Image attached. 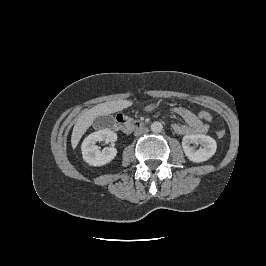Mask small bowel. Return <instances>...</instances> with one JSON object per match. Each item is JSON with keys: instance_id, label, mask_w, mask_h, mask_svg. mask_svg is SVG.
<instances>
[{"instance_id": "c3829d8e", "label": "small bowel", "mask_w": 266, "mask_h": 266, "mask_svg": "<svg viewBox=\"0 0 266 266\" xmlns=\"http://www.w3.org/2000/svg\"><path fill=\"white\" fill-rule=\"evenodd\" d=\"M173 112L180 116L185 124H174L173 130L179 135L203 134L208 131V125L203 123L197 115L186 107H174Z\"/></svg>"}]
</instances>
